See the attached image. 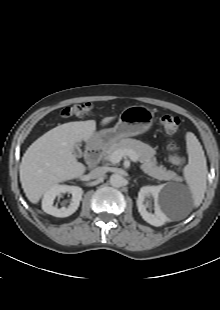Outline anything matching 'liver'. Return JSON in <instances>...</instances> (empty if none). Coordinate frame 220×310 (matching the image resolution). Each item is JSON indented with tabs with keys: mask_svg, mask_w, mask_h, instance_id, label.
I'll use <instances>...</instances> for the list:
<instances>
[{
	"mask_svg": "<svg viewBox=\"0 0 220 310\" xmlns=\"http://www.w3.org/2000/svg\"><path fill=\"white\" fill-rule=\"evenodd\" d=\"M114 117H106L102 125ZM96 121H75L59 125L33 142L19 166L20 182L28 200L36 204L52 186L81 177L86 167L72 150L77 143L94 136Z\"/></svg>",
	"mask_w": 220,
	"mask_h": 310,
	"instance_id": "liver-1",
	"label": "liver"
}]
</instances>
